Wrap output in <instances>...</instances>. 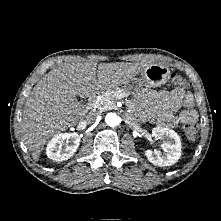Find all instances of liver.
Listing matches in <instances>:
<instances>
[{
    "mask_svg": "<svg viewBox=\"0 0 221 221\" xmlns=\"http://www.w3.org/2000/svg\"><path fill=\"white\" fill-rule=\"evenodd\" d=\"M146 65L78 61L51 70L35 85L25 103L22 140L38 159L48 140L75 126L82 118L77 99L91 98L105 90L129 83ZM97 74V75H96Z\"/></svg>",
    "mask_w": 221,
    "mask_h": 221,
    "instance_id": "6515ba94",
    "label": "liver"
}]
</instances>
